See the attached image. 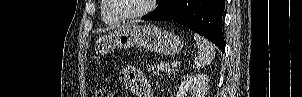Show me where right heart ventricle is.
Returning <instances> with one entry per match:
<instances>
[{
  "label": "right heart ventricle",
  "mask_w": 302,
  "mask_h": 97,
  "mask_svg": "<svg viewBox=\"0 0 302 97\" xmlns=\"http://www.w3.org/2000/svg\"><path fill=\"white\" fill-rule=\"evenodd\" d=\"M102 2H103V6L101 8V18H102V21L104 22V24H106L108 26L120 25L121 21L118 20L117 18H115L111 14L106 0L105 1L103 0Z\"/></svg>",
  "instance_id": "e07e8e85"
}]
</instances>
